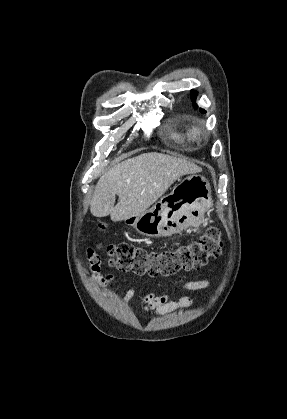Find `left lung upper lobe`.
Wrapping results in <instances>:
<instances>
[{
    "mask_svg": "<svg viewBox=\"0 0 287 419\" xmlns=\"http://www.w3.org/2000/svg\"><path fill=\"white\" fill-rule=\"evenodd\" d=\"M196 96H197V92H196V91H194V90H191V98H192V101H193V106H194V108H195V109H197V108H198L197 104L195 103V101H196ZM199 110H200L202 113H206V111H205L204 109H202V108H199Z\"/></svg>",
    "mask_w": 287,
    "mask_h": 419,
    "instance_id": "5c2ea615",
    "label": "left lung upper lobe"
}]
</instances>
